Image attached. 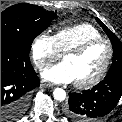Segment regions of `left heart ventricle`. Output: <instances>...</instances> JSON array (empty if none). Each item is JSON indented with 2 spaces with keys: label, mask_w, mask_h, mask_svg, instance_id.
Returning <instances> with one entry per match:
<instances>
[{
  "label": "left heart ventricle",
  "mask_w": 122,
  "mask_h": 122,
  "mask_svg": "<svg viewBox=\"0 0 122 122\" xmlns=\"http://www.w3.org/2000/svg\"><path fill=\"white\" fill-rule=\"evenodd\" d=\"M108 54L105 43L91 46L78 56H67L63 61L70 67L74 82H84L94 77L103 66Z\"/></svg>",
  "instance_id": "obj_1"
}]
</instances>
